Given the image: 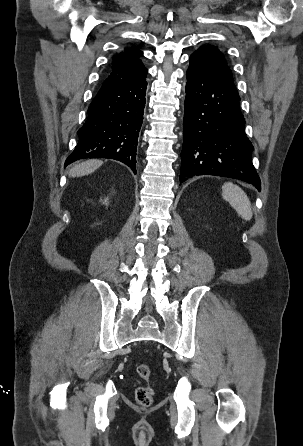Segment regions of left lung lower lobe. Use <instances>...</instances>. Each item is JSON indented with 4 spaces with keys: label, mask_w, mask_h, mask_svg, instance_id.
Listing matches in <instances>:
<instances>
[{
    "label": "left lung lower lobe",
    "mask_w": 303,
    "mask_h": 446,
    "mask_svg": "<svg viewBox=\"0 0 303 446\" xmlns=\"http://www.w3.org/2000/svg\"><path fill=\"white\" fill-rule=\"evenodd\" d=\"M186 77L180 181L216 175L243 180L260 191L233 80L196 56H190Z\"/></svg>",
    "instance_id": "0a47b994"
}]
</instances>
